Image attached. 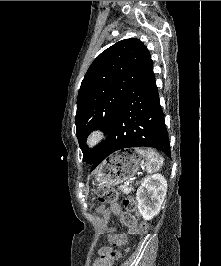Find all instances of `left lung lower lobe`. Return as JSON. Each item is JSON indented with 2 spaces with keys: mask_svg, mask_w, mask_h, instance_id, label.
Segmentation results:
<instances>
[{
  "mask_svg": "<svg viewBox=\"0 0 221 266\" xmlns=\"http://www.w3.org/2000/svg\"><path fill=\"white\" fill-rule=\"evenodd\" d=\"M142 146L159 149L171 157L154 73L139 82L125 98L91 170L116 151Z\"/></svg>",
  "mask_w": 221,
  "mask_h": 266,
  "instance_id": "left-lung-lower-lobe-1",
  "label": "left lung lower lobe"
}]
</instances>
